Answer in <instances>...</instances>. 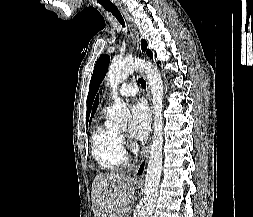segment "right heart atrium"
<instances>
[{
  "instance_id": "1",
  "label": "right heart atrium",
  "mask_w": 253,
  "mask_h": 217,
  "mask_svg": "<svg viewBox=\"0 0 253 217\" xmlns=\"http://www.w3.org/2000/svg\"><path fill=\"white\" fill-rule=\"evenodd\" d=\"M121 140H122V142H125V141H126V138H125L124 135H121Z\"/></svg>"
}]
</instances>
